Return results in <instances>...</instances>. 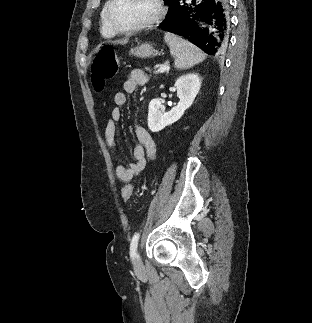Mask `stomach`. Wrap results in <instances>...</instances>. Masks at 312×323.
I'll return each mask as SVG.
<instances>
[{"instance_id": "obj_1", "label": "stomach", "mask_w": 312, "mask_h": 323, "mask_svg": "<svg viewBox=\"0 0 312 323\" xmlns=\"http://www.w3.org/2000/svg\"><path fill=\"white\" fill-rule=\"evenodd\" d=\"M156 52L157 50H154L153 44H148V42H144V44L130 50L131 56H136V58H151Z\"/></svg>"}]
</instances>
